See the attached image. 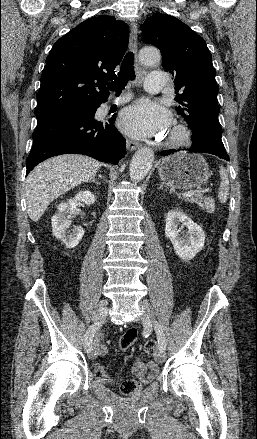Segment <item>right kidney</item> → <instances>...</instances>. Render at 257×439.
Segmentation results:
<instances>
[{
	"instance_id": "ca27d5eb",
	"label": "right kidney",
	"mask_w": 257,
	"mask_h": 439,
	"mask_svg": "<svg viewBox=\"0 0 257 439\" xmlns=\"http://www.w3.org/2000/svg\"><path fill=\"white\" fill-rule=\"evenodd\" d=\"M78 202L91 205L95 202V195L89 190L80 191L74 198L60 203L57 213L51 219L53 235L63 241L67 248L77 246L84 236V230L81 227H75L72 233L68 231L71 225L70 218L75 213Z\"/></svg>"
}]
</instances>
